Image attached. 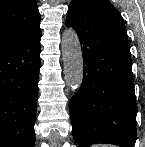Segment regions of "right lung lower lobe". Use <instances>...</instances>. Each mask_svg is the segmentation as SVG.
I'll list each match as a JSON object with an SVG mask.
<instances>
[{"label":"right lung lower lobe","instance_id":"right-lung-lower-lobe-1","mask_svg":"<svg viewBox=\"0 0 145 147\" xmlns=\"http://www.w3.org/2000/svg\"><path fill=\"white\" fill-rule=\"evenodd\" d=\"M41 31L0 47V147H32Z\"/></svg>","mask_w":145,"mask_h":147}]
</instances>
